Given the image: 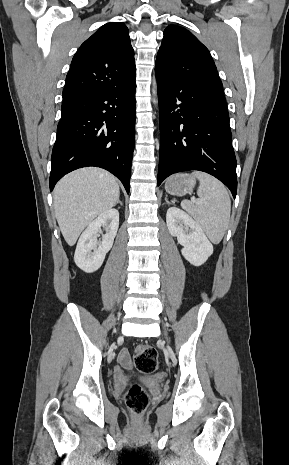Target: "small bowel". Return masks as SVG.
Here are the masks:
<instances>
[{
  "label": "small bowel",
  "instance_id": "c3829d8e",
  "mask_svg": "<svg viewBox=\"0 0 289 465\" xmlns=\"http://www.w3.org/2000/svg\"><path fill=\"white\" fill-rule=\"evenodd\" d=\"M118 362L124 368H131L132 361L127 349H122L118 354Z\"/></svg>",
  "mask_w": 289,
  "mask_h": 465
}]
</instances>
